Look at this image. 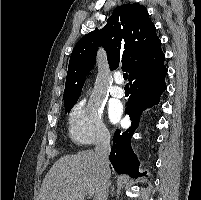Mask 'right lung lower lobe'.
<instances>
[{
  "mask_svg": "<svg viewBox=\"0 0 201 200\" xmlns=\"http://www.w3.org/2000/svg\"><path fill=\"white\" fill-rule=\"evenodd\" d=\"M166 74L167 69L163 65L149 74L138 77L130 86L131 96L127 102L126 113L131 119V126L124 132L115 131L109 157L119 174H128L132 178L146 176V172L138 171L139 161L132 150L131 138L138 127L141 113L159 103L160 96L166 89Z\"/></svg>",
  "mask_w": 201,
  "mask_h": 200,
  "instance_id": "1",
  "label": "right lung lower lobe"
}]
</instances>
